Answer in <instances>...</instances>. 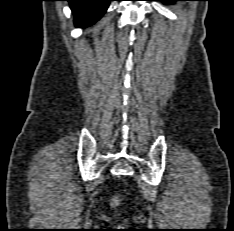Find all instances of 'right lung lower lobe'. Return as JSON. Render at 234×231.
<instances>
[{
  "instance_id": "98d812e1",
  "label": "right lung lower lobe",
  "mask_w": 234,
  "mask_h": 231,
  "mask_svg": "<svg viewBox=\"0 0 234 231\" xmlns=\"http://www.w3.org/2000/svg\"><path fill=\"white\" fill-rule=\"evenodd\" d=\"M70 3L76 27L92 25L106 12L111 0H66Z\"/></svg>"
}]
</instances>
